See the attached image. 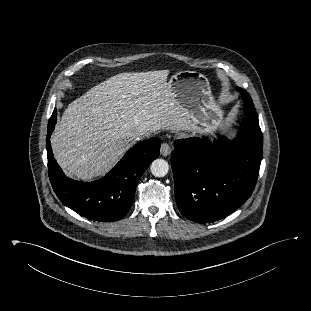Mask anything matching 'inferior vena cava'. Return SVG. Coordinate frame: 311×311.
Returning a JSON list of instances; mask_svg holds the SVG:
<instances>
[{"instance_id":"obj_1","label":"inferior vena cava","mask_w":311,"mask_h":311,"mask_svg":"<svg viewBox=\"0 0 311 311\" xmlns=\"http://www.w3.org/2000/svg\"><path fill=\"white\" fill-rule=\"evenodd\" d=\"M147 137V135L143 134V133H136V134H133V139L134 140H141L143 138Z\"/></svg>"}]
</instances>
